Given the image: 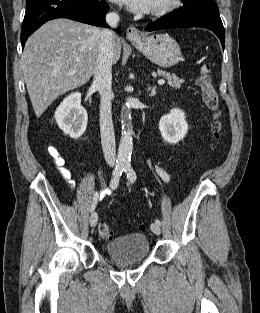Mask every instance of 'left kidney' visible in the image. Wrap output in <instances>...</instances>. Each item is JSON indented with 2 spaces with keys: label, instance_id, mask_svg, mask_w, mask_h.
<instances>
[{
  "label": "left kidney",
  "instance_id": "left-kidney-1",
  "mask_svg": "<svg viewBox=\"0 0 260 313\" xmlns=\"http://www.w3.org/2000/svg\"><path fill=\"white\" fill-rule=\"evenodd\" d=\"M159 129L166 142L170 144L178 143L188 131L184 112L178 108L172 109L169 114L160 119Z\"/></svg>",
  "mask_w": 260,
  "mask_h": 313
}]
</instances>
